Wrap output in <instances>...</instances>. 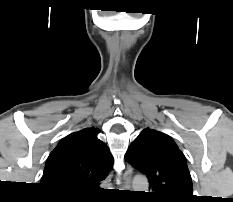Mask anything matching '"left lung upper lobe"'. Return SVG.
Instances as JSON below:
<instances>
[{
  "label": "left lung upper lobe",
  "mask_w": 233,
  "mask_h": 202,
  "mask_svg": "<svg viewBox=\"0 0 233 202\" xmlns=\"http://www.w3.org/2000/svg\"><path fill=\"white\" fill-rule=\"evenodd\" d=\"M125 159L150 181L149 198L156 202H191L192 180L186 158L173 139L145 129L132 142Z\"/></svg>",
  "instance_id": "left-lung-upper-lobe-1"
}]
</instances>
